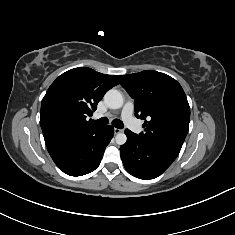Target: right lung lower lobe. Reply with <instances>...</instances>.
<instances>
[{
	"mask_svg": "<svg viewBox=\"0 0 235 235\" xmlns=\"http://www.w3.org/2000/svg\"><path fill=\"white\" fill-rule=\"evenodd\" d=\"M114 135L112 126H102L47 147L55 164L70 176H82L100 164L106 146Z\"/></svg>",
	"mask_w": 235,
	"mask_h": 235,
	"instance_id": "1",
	"label": "right lung lower lobe"
}]
</instances>
